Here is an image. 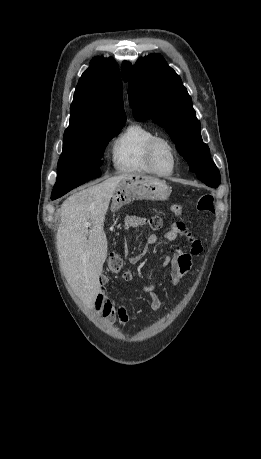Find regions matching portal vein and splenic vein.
Returning <instances> with one entry per match:
<instances>
[{"label":"portal vein and splenic vein","instance_id":"1","mask_svg":"<svg viewBox=\"0 0 261 459\" xmlns=\"http://www.w3.org/2000/svg\"><path fill=\"white\" fill-rule=\"evenodd\" d=\"M85 227H86V228H90V227H91V223L86 222V223H85Z\"/></svg>","mask_w":261,"mask_h":459}]
</instances>
